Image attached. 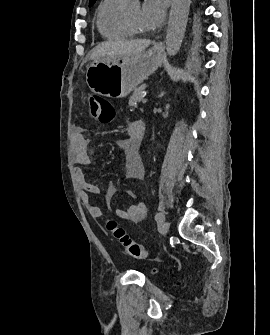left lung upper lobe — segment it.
<instances>
[{
    "label": "left lung upper lobe",
    "instance_id": "1",
    "mask_svg": "<svg viewBox=\"0 0 270 335\" xmlns=\"http://www.w3.org/2000/svg\"><path fill=\"white\" fill-rule=\"evenodd\" d=\"M96 0H90L89 6H92L95 3Z\"/></svg>",
    "mask_w": 270,
    "mask_h": 335
}]
</instances>
